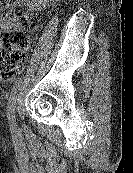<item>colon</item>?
Here are the masks:
<instances>
[{
    "instance_id": "obj_1",
    "label": "colon",
    "mask_w": 133,
    "mask_h": 173,
    "mask_svg": "<svg viewBox=\"0 0 133 173\" xmlns=\"http://www.w3.org/2000/svg\"><path fill=\"white\" fill-rule=\"evenodd\" d=\"M16 0H0V80L15 76L30 47L29 32L39 23L33 14L11 9Z\"/></svg>"
}]
</instances>
